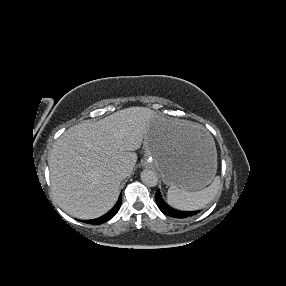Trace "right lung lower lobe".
I'll list each match as a JSON object with an SVG mask.
<instances>
[{"instance_id":"obj_1","label":"right lung lower lobe","mask_w":286,"mask_h":286,"mask_svg":"<svg viewBox=\"0 0 286 286\" xmlns=\"http://www.w3.org/2000/svg\"><path fill=\"white\" fill-rule=\"evenodd\" d=\"M120 205H121V196L119 197L115 206L108 213H106L105 215L99 218L92 219V220H85L84 222L88 224H95V225L104 223L116 215V213L118 212L120 208Z\"/></svg>"}]
</instances>
